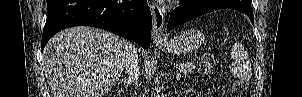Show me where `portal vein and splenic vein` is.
<instances>
[{
  "mask_svg": "<svg viewBox=\"0 0 302 97\" xmlns=\"http://www.w3.org/2000/svg\"><path fill=\"white\" fill-rule=\"evenodd\" d=\"M177 77H180V74H177Z\"/></svg>",
  "mask_w": 302,
  "mask_h": 97,
  "instance_id": "1",
  "label": "portal vein and splenic vein"
}]
</instances>
